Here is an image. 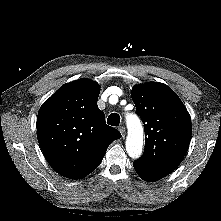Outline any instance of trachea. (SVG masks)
I'll return each instance as SVG.
<instances>
[{
	"label": "trachea",
	"mask_w": 221,
	"mask_h": 221,
	"mask_svg": "<svg viewBox=\"0 0 221 221\" xmlns=\"http://www.w3.org/2000/svg\"><path fill=\"white\" fill-rule=\"evenodd\" d=\"M107 123L111 126H118L120 124V116L117 113H112L107 119Z\"/></svg>",
	"instance_id": "trachea-1"
}]
</instances>
